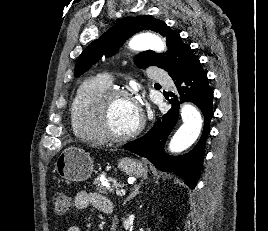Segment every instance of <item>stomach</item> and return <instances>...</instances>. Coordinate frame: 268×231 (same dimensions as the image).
I'll return each mask as SVG.
<instances>
[{
  "label": "stomach",
  "mask_w": 268,
  "mask_h": 231,
  "mask_svg": "<svg viewBox=\"0 0 268 231\" xmlns=\"http://www.w3.org/2000/svg\"><path fill=\"white\" fill-rule=\"evenodd\" d=\"M93 166L90 154L75 146L65 148L55 162L58 175L73 182H82L90 178ZM118 168L126 175L134 177H145L148 172L147 166L142 161L127 157L119 160Z\"/></svg>",
  "instance_id": "1"
}]
</instances>
